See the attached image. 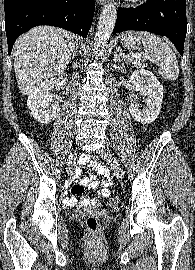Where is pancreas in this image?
<instances>
[{"mask_svg":"<svg viewBox=\"0 0 195 270\" xmlns=\"http://www.w3.org/2000/svg\"><path fill=\"white\" fill-rule=\"evenodd\" d=\"M127 56L128 57L123 58L124 61H126L127 63H132L134 66H137V67L142 66L141 59L132 57L131 55H127Z\"/></svg>","mask_w":195,"mask_h":270,"instance_id":"obj_1","label":"pancreas"}]
</instances>
